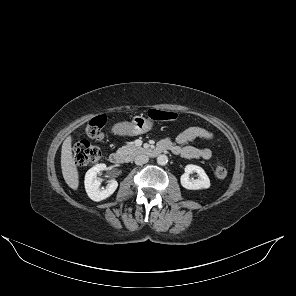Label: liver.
I'll use <instances>...</instances> for the list:
<instances>
[{"instance_id": "obj_1", "label": "liver", "mask_w": 296, "mask_h": 296, "mask_svg": "<svg viewBox=\"0 0 296 296\" xmlns=\"http://www.w3.org/2000/svg\"><path fill=\"white\" fill-rule=\"evenodd\" d=\"M61 169L65 182L73 190L79 186V174L72 155V139L68 136L61 150Z\"/></svg>"}]
</instances>
